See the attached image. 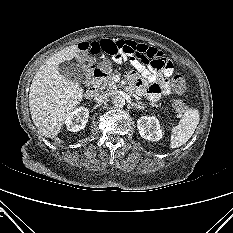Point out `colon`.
Listing matches in <instances>:
<instances>
[{
  "instance_id": "colon-1",
  "label": "colon",
  "mask_w": 233,
  "mask_h": 233,
  "mask_svg": "<svg viewBox=\"0 0 233 233\" xmlns=\"http://www.w3.org/2000/svg\"><path fill=\"white\" fill-rule=\"evenodd\" d=\"M172 87L175 93L182 94L186 91V78L182 74H177L172 79ZM172 106L178 115H182L187 110V105L182 100H174Z\"/></svg>"
}]
</instances>
